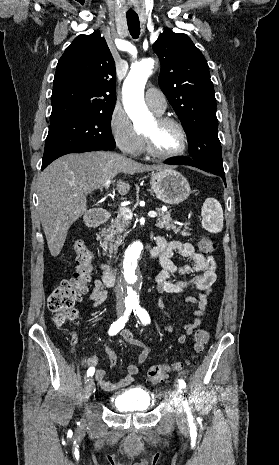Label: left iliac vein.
I'll list each match as a JSON object with an SVG mask.
<instances>
[{"label": "left iliac vein", "instance_id": "obj_1", "mask_svg": "<svg viewBox=\"0 0 279 465\" xmlns=\"http://www.w3.org/2000/svg\"><path fill=\"white\" fill-rule=\"evenodd\" d=\"M173 398L176 406V420L180 425H185L187 423V417L184 410V401L181 395V390L176 387L173 393Z\"/></svg>", "mask_w": 279, "mask_h": 465}]
</instances>
